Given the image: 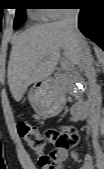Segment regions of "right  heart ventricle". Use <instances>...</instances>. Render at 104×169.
I'll return each instance as SVG.
<instances>
[{
  "instance_id": "1",
  "label": "right heart ventricle",
  "mask_w": 104,
  "mask_h": 169,
  "mask_svg": "<svg viewBox=\"0 0 104 169\" xmlns=\"http://www.w3.org/2000/svg\"><path fill=\"white\" fill-rule=\"evenodd\" d=\"M47 13L48 12L46 10H39L38 11V14L41 15L42 17H44V18H45V16H46Z\"/></svg>"
}]
</instances>
